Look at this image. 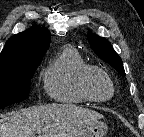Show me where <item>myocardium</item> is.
Segmentation results:
<instances>
[{
	"label": "myocardium",
	"mask_w": 144,
	"mask_h": 137,
	"mask_svg": "<svg viewBox=\"0 0 144 137\" xmlns=\"http://www.w3.org/2000/svg\"><path fill=\"white\" fill-rule=\"evenodd\" d=\"M98 74L104 77L111 87V93L107 97L97 96L91 88V80L93 75ZM79 86L82 93L90 100L94 102H106L114 97L115 83L110 74L99 66L89 65L80 75Z\"/></svg>",
	"instance_id": "f54148a6"
}]
</instances>
